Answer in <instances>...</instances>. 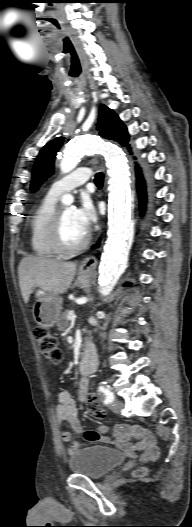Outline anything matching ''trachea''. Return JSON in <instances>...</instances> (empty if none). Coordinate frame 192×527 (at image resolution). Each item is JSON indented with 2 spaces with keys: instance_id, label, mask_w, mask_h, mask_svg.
Masks as SVG:
<instances>
[{
  "instance_id": "3493384b",
  "label": "trachea",
  "mask_w": 192,
  "mask_h": 527,
  "mask_svg": "<svg viewBox=\"0 0 192 527\" xmlns=\"http://www.w3.org/2000/svg\"><path fill=\"white\" fill-rule=\"evenodd\" d=\"M104 175L102 173H97L95 176V183L97 186H102Z\"/></svg>"
}]
</instances>
